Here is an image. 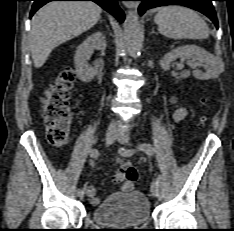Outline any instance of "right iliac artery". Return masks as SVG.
<instances>
[{
  "instance_id": "right-iliac-artery-1",
  "label": "right iliac artery",
  "mask_w": 234,
  "mask_h": 231,
  "mask_svg": "<svg viewBox=\"0 0 234 231\" xmlns=\"http://www.w3.org/2000/svg\"><path fill=\"white\" fill-rule=\"evenodd\" d=\"M90 156L92 157V158H97L98 156H99V151L97 150V149H92L91 151H90ZM85 187H86V185H84V188L83 189H78L77 190V193H82V192H84V189H85Z\"/></svg>"
}]
</instances>
